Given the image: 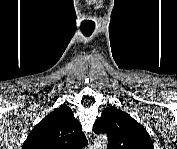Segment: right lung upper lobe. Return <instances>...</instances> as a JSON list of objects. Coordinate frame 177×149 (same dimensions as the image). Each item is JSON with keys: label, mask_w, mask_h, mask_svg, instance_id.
Listing matches in <instances>:
<instances>
[{"label": "right lung upper lobe", "mask_w": 177, "mask_h": 149, "mask_svg": "<svg viewBox=\"0 0 177 149\" xmlns=\"http://www.w3.org/2000/svg\"><path fill=\"white\" fill-rule=\"evenodd\" d=\"M87 144L80 122L72 110L62 105L48 114L30 132L25 149H81Z\"/></svg>", "instance_id": "cb5924a9"}]
</instances>
